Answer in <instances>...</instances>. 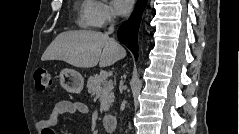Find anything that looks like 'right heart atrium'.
I'll return each mask as SVG.
<instances>
[{
    "label": "right heart atrium",
    "mask_w": 239,
    "mask_h": 134,
    "mask_svg": "<svg viewBox=\"0 0 239 134\" xmlns=\"http://www.w3.org/2000/svg\"><path fill=\"white\" fill-rule=\"evenodd\" d=\"M89 19L94 27H104L115 19V13L110 4L103 1H90Z\"/></svg>",
    "instance_id": "right-heart-atrium-1"
}]
</instances>
